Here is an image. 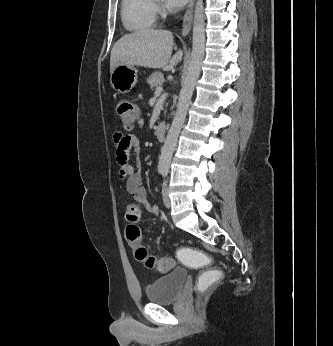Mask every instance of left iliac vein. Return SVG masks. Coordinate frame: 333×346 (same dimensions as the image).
Listing matches in <instances>:
<instances>
[{
    "label": "left iliac vein",
    "mask_w": 333,
    "mask_h": 346,
    "mask_svg": "<svg viewBox=\"0 0 333 346\" xmlns=\"http://www.w3.org/2000/svg\"><path fill=\"white\" fill-rule=\"evenodd\" d=\"M162 196H163L164 205L167 208H169L171 206V201H170V198H169V191H168V187H167V183L166 182L163 183Z\"/></svg>",
    "instance_id": "1"
}]
</instances>
